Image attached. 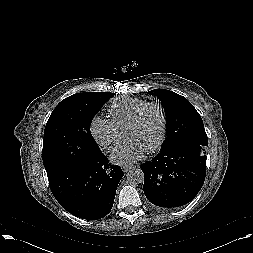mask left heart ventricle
Masks as SVG:
<instances>
[{"instance_id": "obj_1", "label": "left heart ventricle", "mask_w": 253, "mask_h": 253, "mask_svg": "<svg viewBox=\"0 0 253 253\" xmlns=\"http://www.w3.org/2000/svg\"><path fill=\"white\" fill-rule=\"evenodd\" d=\"M160 129V112L156 107H150L134 127L125 131V137L139 142L148 150L157 141Z\"/></svg>"}]
</instances>
